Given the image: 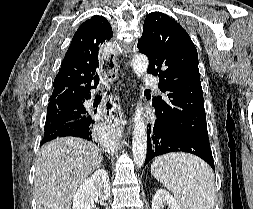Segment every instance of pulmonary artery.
<instances>
[{
  "instance_id": "1",
  "label": "pulmonary artery",
  "mask_w": 253,
  "mask_h": 209,
  "mask_svg": "<svg viewBox=\"0 0 253 209\" xmlns=\"http://www.w3.org/2000/svg\"><path fill=\"white\" fill-rule=\"evenodd\" d=\"M144 82L145 84L152 88V89H157L158 88V81H157V78L156 77H153V76H146L144 78Z\"/></svg>"
}]
</instances>
